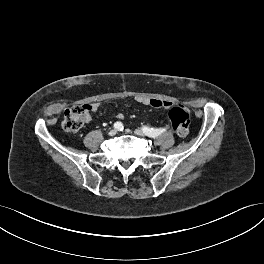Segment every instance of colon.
<instances>
[{"instance_id": "obj_1", "label": "colon", "mask_w": 264, "mask_h": 264, "mask_svg": "<svg viewBox=\"0 0 264 264\" xmlns=\"http://www.w3.org/2000/svg\"><path fill=\"white\" fill-rule=\"evenodd\" d=\"M88 105H77L64 112L63 128L69 132H78L82 129L89 116ZM170 123L180 137H185L189 132L190 116L183 106H175L169 111Z\"/></svg>"}]
</instances>
